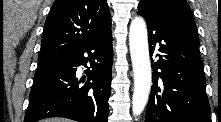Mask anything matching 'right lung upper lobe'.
<instances>
[{"instance_id":"right-lung-upper-lobe-1","label":"right lung upper lobe","mask_w":221,"mask_h":122,"mask_svg":"<svg viewBox=\"0 0 221 122\" xmlns=\"http://www.w3.org/2000/svg\"><path fill=\"white\" fill-rule=\"evenodd\" d=\"M111 31L106 0H55L46 19L38 61L73 52Z\"/></svg>"}]
</instances>
